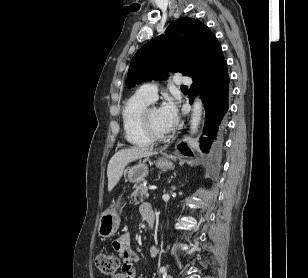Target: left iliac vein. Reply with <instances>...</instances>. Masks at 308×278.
<instances>
[{"mask_svg": "<svg viewBox=\"0 0 308 278\" xmlns=\"http://www.w3.org/2000/svg\"><path fill=\"white\" fill-rule=\"evenodd\" d=\"M167 278H173L171 275H169Z\"/></svg>", "mask_w": 308, "mask_h": 278, "instance_id": "left-iliac-vein-1", "label": "left iliac vein"}]
</instances>
